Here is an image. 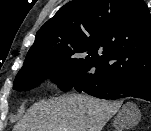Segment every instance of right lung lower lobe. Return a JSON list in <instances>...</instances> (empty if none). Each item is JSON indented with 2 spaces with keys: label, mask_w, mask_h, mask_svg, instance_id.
Returning <instances> with one entry per match:
<instances>
[{
  "label": "right lung lower lobe",
  "mask_w": 151,
  "mask_h": 131,
  "mask_svg": "<svg viewBox=\"0 0 151 131\" xmlns=\"http://www.w3.org/2000/svg\"><path fill=\"white\" fill-rule=\"evenodd\" d=\"M73 88L101 99L116 100L132 96L151 102V76L136 79H77Z\"/></svg>",
  "instance_id": "right-lung-lower-lobe-1"
}]
</instances>
